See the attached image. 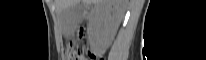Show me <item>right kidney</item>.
Masks as SVG:
<instances>
[{
	"instance_id": "right-kidney-1",
	"label": "right kidney",
	"mask_w": 206,
	"mask_h": 60,
	"mask_svg": "<svg viewBox=\"0 0 206 60\" xmlns=\"http://www.w3.org/2000/svg\"><path fill=\"white\" fill-rule=\"evenodd\" d=\"M123 13V3L120 0H105L96 5L89 36L94 48L104 50L110 45Z\"/></svg>"
}]
</instances>
